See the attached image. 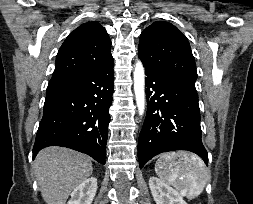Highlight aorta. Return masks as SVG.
Listing matches in <instances>:
<instances>
[{
	"instance_id": "1",
	"label": "aorta",
	"mask_w": 253,
	"mask_h": 204,
	"mask_svg": "<svg viewBox=\"0 0 253 204\" xmlns=\"http://www.w3.org/2000/svg\"><path fill=\"white\" fill-rule=\"evenodd\" d=\"M133 77L138 111L140 115H143L145 108V74L144 67L140 61L136 63Z\"/></svg>"
}]
</instances>
